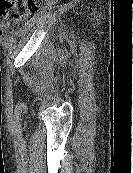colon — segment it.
<instances>
[{
  "label": "colon",
  "instance_id": "colon-1",
  "mask_svg": "<svg viewBox=\"0 0 133 173\" xmlns=\"http://www.w3.org/2000/svg\"><path fill=\"white\" fill-rule=\"evenodd\" d=\"M57 0H0V34L14 29L19 18L36 13Z\"/></svg>",
  "mask_w": 133,
  "mask_h": 173
}]
</instances>
